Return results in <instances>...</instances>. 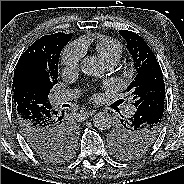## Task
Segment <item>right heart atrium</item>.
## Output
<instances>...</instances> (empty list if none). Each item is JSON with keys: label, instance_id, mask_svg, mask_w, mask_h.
I'll return each mask as SVG.
<instances>
[{"label": "right heart atrium", "instance_id": "1", "mask_svg": "<svg viewBox=\"0 0 184 184\" xmlns=\"http://www.w3.org/2000/svg\"><path fill=\"white\" fill-rule=\"evenodd\" d=\"M84 52L85 48L81 42H73L65 48L62 54V63L68 68H77Z\"/></svg>", "mask_w": 184, "mask_h": 184}]
</instances>
